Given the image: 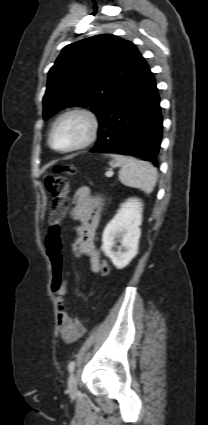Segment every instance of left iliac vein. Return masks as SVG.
<instances>
[{
	"label": "left iliac vein",
	"mask_w": 208,
	"mask_h": 425,
	"mask_svg": "<svg viewBox=\"0 0 208 425\" xmlns=\"http://www.w3.org/2000/svg\"><path fill=\"white\" fill-rule=\"evenodd\" d=\"M68 390L71 396H76L78 393L77 379L75 374H71L68 380Z\"/></svg>",
	"instance_id": "obj_1"
}]
</instances>
